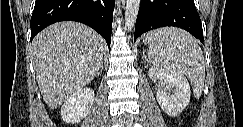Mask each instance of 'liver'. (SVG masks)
I'll use <instances>...</instances> for the list:
<instances>
[{
	"label": "liver",
	"instance_id": "6515ba94",
	"mask_svg": "<svg viewBox=\"0 0 243 127\" xmlns=\"http://www.w3.org/2000/svg\"><path fill=\"white\" fill-rule=\"evenodd\" d=\"M105 42L92 28L72 21L53 24L33 40V62L44 102L59 107L98 74Z\"/></svg>",
	"mask_w": 243,
	"mask_h": 127
}]
</instances>
